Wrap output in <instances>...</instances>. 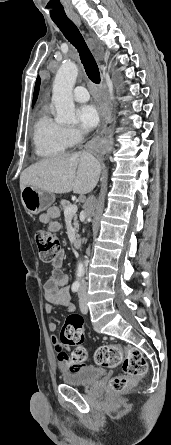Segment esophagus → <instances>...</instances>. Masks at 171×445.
<instances>
[{"label": "esophagus", "mask_w": 171, "mask_h": 445, "mask_svg": "<svg viewBox=\"0 0 171 445\" xmlns=\"http://www.w3.org/2000/svg\"><path fill=\"white\" fill-rule=\"evenodd\" d=\"M73 19V21L76 23V24H78V25H80L81 24V21H80V18L79 17H73L72 18ZM105 125H103V127H102V132L105 130Z\"/></svg>", "instance_id": "34e87169"}]
</instances>
